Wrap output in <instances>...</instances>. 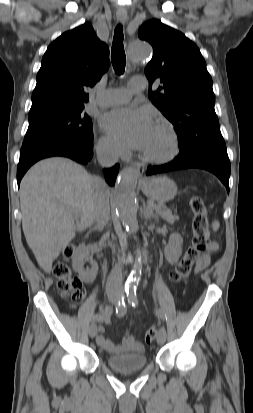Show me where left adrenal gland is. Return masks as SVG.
I'll list each match as a JSON object with an SVG mask.
<instances>
[{
    "label": "left adrenal gland",
    "instance_id": "obj_1",
    "mask_svg": "<svg viewBox=\"0 0 253 413\" xmlns=\"http://www.w3.org/2000/svg\"><path fill=\"white\" fill-rule=\"evenodd\" d=\"M143 216L146 220H149L151 218L153 219H157V216L153 213V211L151 209H149L148 207H144L143 210Z\"/></svg>",
    "mask_w": 253,
    "mask_h": 413
}]
</instances>
